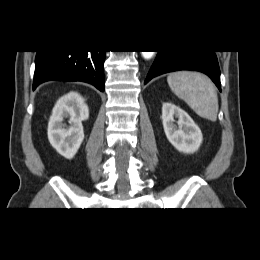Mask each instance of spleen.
Here are the masks:
<instances>
[{"mask_svg":"<svg viewBox=\"0 0 260 260\" xmlns=\"http://www.w3.org/2000/svg\"><path fill=\"white\" fill-rule=\"evenodd\" d=\"M167 82L175 95L184 100L197 115L216 121L218 96L214 84L206 75L178 71L170 73Z\"/></svg>","mask_w":260,"mask_h":260,"instance_id":"1","label":"spleen"}]
</instances>
